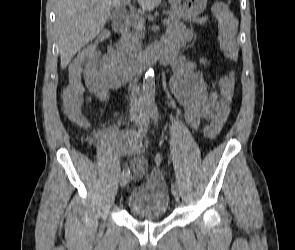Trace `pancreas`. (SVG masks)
<instances>
[{"label":"pancreas","instance_id":"obj_1","mask_svg":"<svg viewBox=\"0 0 295 250\" xmlns=\"http://www.w3.org/2000/svg\"><path fill=\"white\" fill-rule=\"evenodd\" d=\"M168 20L169 23L168 26L177 24L180 22L181 16L169 11L168 12ZM208 20V17H202V18H193V22L204 24ZM143 25H139L136 21L133 23V30L130 31L126 35V48L129 51V53H137L141 50V39L143 38Z\"/></svg>","mask_w":295,"mask_h":250}]
</instances>
